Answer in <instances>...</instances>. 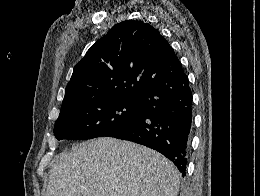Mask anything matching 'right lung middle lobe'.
<instances>
[{"instance_id":"dd1d6c3e","label":"right lung middle lobe","mask_w":260,"mask_h":196,"mask_svg":"<svg viewBox=\"0 0 260 196\" xmlns=\"http://www.w3.org/2000/svg\"><path fill=\"white\" fill-rule=\"evenodd\" d=\"M138 98L120 94L101 95L60 110L54 134L58 140L108 136L143 118Z\"/></svg>"}]
</instances>
